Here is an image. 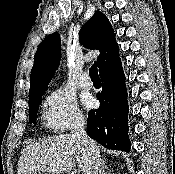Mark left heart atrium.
Masks as SVG:
<instances>
[{
    "instance_id": "left-heart-atrium-1",
    "label": "left heart atrium",
    "mask_w": 175,
    "mask_h": 174,
    "mask_svg": "<svg viewBox=\"0 0 175 174\" xmlns=\"http://www.w3.org/2000/svg\"><path fill=\"white\" fill-rule=\"evenodd\" d=\"M83 103L86 107L91 108L94 105V99L90 95H86L83 97Z\"/></svg>"
}]
</instances>
